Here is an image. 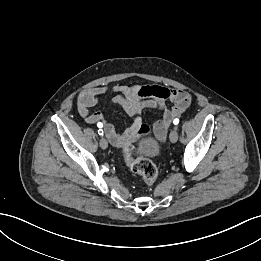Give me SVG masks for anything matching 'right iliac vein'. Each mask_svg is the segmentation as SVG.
<instances>
[{
	"mask_svg": "<svg viewBox=\"0 0 261 261\" xmlns=\"http://www.w3.org/2000/svg\"><path fill=\"white\" fill-rule=\"evenodd\" d=\"M100 147L102 148V149H107V147H108V142H107V140L104 138V137H102L101 139H100Z\"/></svg>",
	"mask_w": 261,
	"mask_h": 261,
	"instance_id": "63e3f726",
	"label": "right iliac vein"
}]
</instances>
